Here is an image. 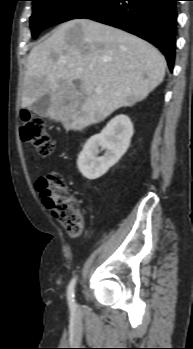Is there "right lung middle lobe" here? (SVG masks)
Wrapping results in <instances>:
<instances>
[{
    "label": "right lung middle lobe",
    "mask_w": 193,
    "mask_h": 349,
    "mask_svg": "<svg viewBox=\"0 0 193 349\" xmlns=\"http://www.w3.org/2000/svg\"><path fill=\"white\" fill-rule=\"evenodd\" d=\"M30 27L33 38L50 26L78 18L99 0H32Z\"/></svg>",
    "instance_id": "obj_1"
}]
</instances>
